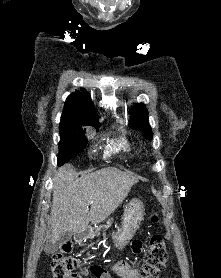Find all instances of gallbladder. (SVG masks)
Wrapping results in <instances>:
<instances>
[{"label": "gallbladder", "instance_id": "gallbladder-1", "mask_svg": "<svg viewBox=\"0 0 221 278\" xmlns=\"http://www.w3.org/2000/svg\"><path fill=\"white\" fill-rule=\"evenodd\" d=\"M72 237V233L71 232H66L59 241H57L55 244L51 245V249L50 251H56L58 250L62 244L66 243L67 241H69Z\"/></svg>", "mask_w": 221, "mask_h": 278}]
</instances>
